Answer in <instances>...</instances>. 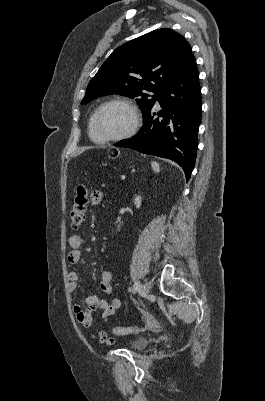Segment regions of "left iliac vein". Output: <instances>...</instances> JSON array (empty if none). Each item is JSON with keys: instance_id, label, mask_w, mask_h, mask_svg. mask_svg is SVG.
<instances>
[{"instance_id": "left-iliac-vein-1", "label": "left iliac vein", "mask_w": 265, "mask_h": 401, "mask_svg": "<svg viewBox=\"0 0 265 401\" xmlns=\"http://www.w3.org/2000/svg\"><path fill=\"white\" fill-rule=\"evenodd\" d=\"M151 287L148 284H144L142 293L148 295L150 293Z\"/></svg>"}]
</instances>
